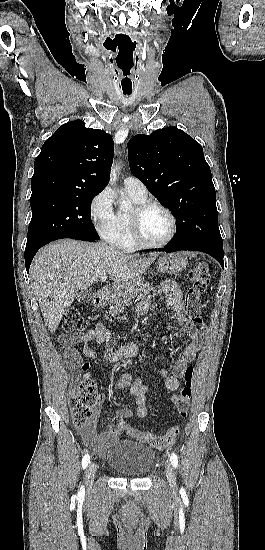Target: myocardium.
<instances>
[{
	"label": "myocardium",
	"mask_w": 265,
	"mask_h": 550,
	"mask_svg": "<svg viewBox=\"0 0 265 550\" xmlns=\"http://www.w3.org/2000/svg\"><path fill=\"white\" fill-rule=\"evenodd\" d=\"M153 208L160 209L166 213L170 219V232L167 238L159 243H151L146 241L141 233V221L144 214ZM131 235L135 245L139 248L145 249H158L168 245L175 237L177 232V220L173 212L165 205L156 201H145L138 205H135L131 210L130 218Z\"/></svg>",
	"instance_id": "1"
}]
</instances>
